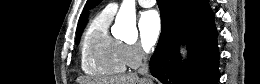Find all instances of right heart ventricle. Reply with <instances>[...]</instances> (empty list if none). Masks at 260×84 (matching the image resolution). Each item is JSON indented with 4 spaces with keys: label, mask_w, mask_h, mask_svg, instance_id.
<instances>
[{
    "label": "right heart ventricle",
    "mask_w": 260,
    "mask_h": 84,
    "mask_svg": "<svg viewBox=\"0 0 260 84\" xmlns=\"http://www.w3.org/2000/svg\"><path fill=\"white\" fill-rule=\"evenodd\" d=\"M113 15L103 10L87 28L81 46V67L93 78L124 72L123 43L109 33Z\"/></svg>",
    "instance_id": "e07e8e85"
}]
</instances>
